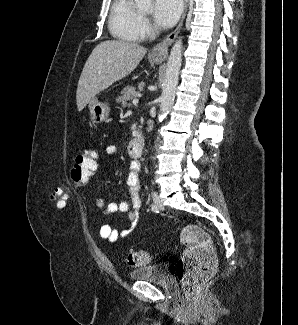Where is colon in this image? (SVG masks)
Returning a JSON list of instances; mask_svg holds the SVG:
<instances>
[{"mask_svg": "<svg viewBox=\"0 0 298 325\" xmlns=\"http://www.w3.org/2000/svg\"><path fill=\"white\" fill-rule=\"evenodd\" d=\"M98 153L93 148L83 149L76 157L71 170L74 187L85 186L96 169ZM68 192L55 189L51 198L58 204H65ZM181 242L185 249L178 263L177 276L186 297L193 298L209 282L216 271L217 263L211 239L207 232L196 225H188L181 231ZM131 267L150 262V255L143 250L132 251L126 256Z\"/></svg>", "mask_w": 298, "mask_h": 325, "instance_id": "5ec220e1", "label": "colon"}]
</instances>
